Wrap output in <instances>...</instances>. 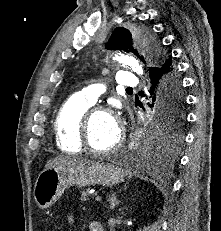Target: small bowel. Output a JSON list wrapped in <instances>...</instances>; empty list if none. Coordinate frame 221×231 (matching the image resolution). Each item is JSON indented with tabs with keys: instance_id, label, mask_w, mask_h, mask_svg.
I'll return each instance as SVG.
<instances>
[{
	"instance_id": "small-bowel-1",
	"label": "small bowel",
	"mask_w": 221,
	"mask_h": 231,
	"mask_svg": "<svg viewBox=\"0 0 221 231\" xmlns=\"http://www.w3.org/2000/svg\"><path fill=\"white\" fill-rule=\"evenodd\" d=\"M69 222L71 223V224H73V222H74V215L73 214H70L69 215ZM97 225H99L100 227H102V225L99 223V222H95ZM103 228V227H102Z\"/></svg>"
}]
</instances>
